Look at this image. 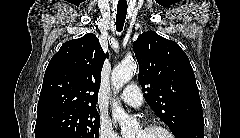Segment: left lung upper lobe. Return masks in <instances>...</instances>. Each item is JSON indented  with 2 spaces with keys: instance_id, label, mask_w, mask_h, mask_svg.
<instances>
[{
  "instance_id": "obj_1",
  "label": "left lung upper lobe",
  "mask_w": 240,
  "mask_h": 138,
  "mask_svg": "<svg viewBox=\"0 0 240 138\" xmlns=\"http://www.w3.org/2000/svg\"><path fill=\"white\" fill-rule=\"evenodd\" d=\"M144 98L177 136L184 128L204 123L202 104L189 58L174 41L154 31L133 43Z\"/></svg>"
}]
</instances>
